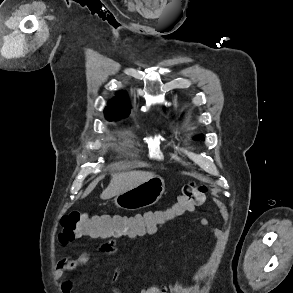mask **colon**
<instances>
[{"label":"colon","instance_id":"obj_1","mask_svg":"<svg viewBox=\"0 0 293 293\" xmlns=\"http://www.w3.org/2000/svg\"><path fill=\"white\" fill-rule=\"evenodd\" d=\"M207 187L190 182L182 187L176 201L166 210L153 211L151 215L129 216L122 214H88L70 211L62 215L59 241L62 244L78 239L84 235L106 239L111 236L140 232L158 227L171 219L193 211L202 203ZM149 293H156L153 288H146Z\"/></svg>","mask_w":293,"mask_h":293}]
</instances>
